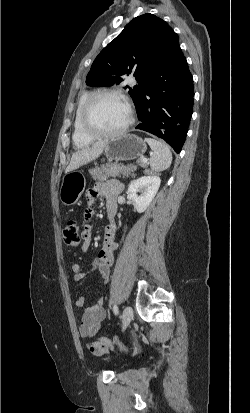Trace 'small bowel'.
Segmentation results:
<instances>
[{
    "label": "small bowel",
    "instance_id": "c3829d8e",
    "mask_svg": "<svg viewBox=\"0 0 250 413\" xmlns=\"http://www.w3.org/2000/svg\"><path fill=\"white\" fill-rule=\"evenodd\" d=\"M122 191V184L117 180H109L96 184L89 190L86 196V217L90 218L93 206L99 197H104L106 200V208L116 211L117 196ZM117 230L113 219L104 228L103 247L99 251L96 258L90 265L83 269L79 264L74 263L70 266L72 278L75 282H81L87 275L95 271L102 276L104 283L108 282L111 267L114 263V252L118 248L116 242ZM93 237V230L90 225H86L82 231L83 244L81 251L86 252L91 244ZM78 308L83 309L81 323L79 327L80 335L84 338L93 337L99 330L101 323L106 317V312L103 307V300L99 299L96 303L86 306L85 298L80 296L75 302ZM91 353L95 355H102L108 351V348H95L92 343L88 345Z\"/></svg>",
    "mask_w": 250,
    "mask_h": 413
}]
</instances>
